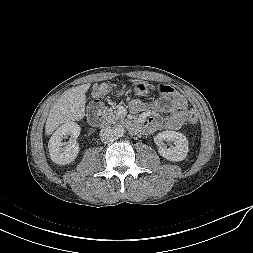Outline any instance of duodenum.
I'll return each mask as SVG.
<instances>
[{
    "mask_svg": "<svg viewBox=\"0 0 253 253\" xmlns=\"http://www.w3.org/2000/svg\"><path fill=\"white\" fill-rule=\"evenodd\" d=\"M88 121L92 126H100L103 122L102 105L99 102H93L88 109ZM128 128L132 132H136L139 126L133 122H127Z\"/></svg>",
    "mask_w": 253,
    "mask_h": 253,
    "instance_id": "obj_1",
    "label": "duodenum"
}]
</instances>
